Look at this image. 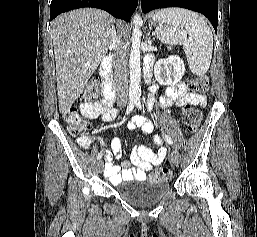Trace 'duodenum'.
I'll return each mask as SVG.
<instances>
[{"mask_svg": "<svg viewBox=\"0 0 257 237\" xmlns=\"http://www.w3.org/2000/svg\"><path fill=\"white\" fill-rule=\"evenodd\" d=\"M114 63V56L107 55L100 65V76L102 79L103 95L108 100L115 99V84L112 75L111 67ZM147 77L149 75L147 74Z\"/></svg>", "mask_w": 257, "mask_h": 237, "instance_id": "410a0bca", "label": "duodenum"}]
</instances>
